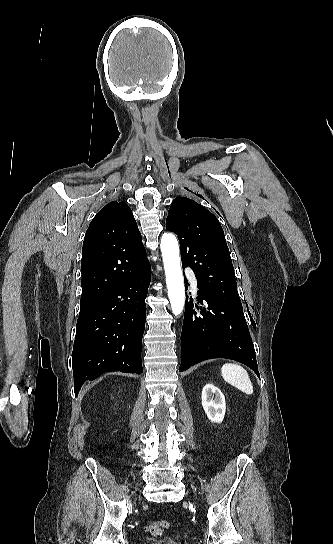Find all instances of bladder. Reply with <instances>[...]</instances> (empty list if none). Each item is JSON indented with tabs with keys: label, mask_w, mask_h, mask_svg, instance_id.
Listing matches in <instances>:
<instances>
[{
	"label": "bladder",
	"mask_w": 333,
	"mask_h": 544,
	"mask_svg": "<svg viewBox=\"0 0 333 544\" xmlns=\"http://www.w3.org/2000/svg\"><path fill=\"white\" fill-rule=\"evenodd\" d=\"M164 542H165L164 544H183V543H181L179 541H175L173 539H166V540H164Z\"/></svg>",
	"instance_id": "obj_1"
}]
</instances>
